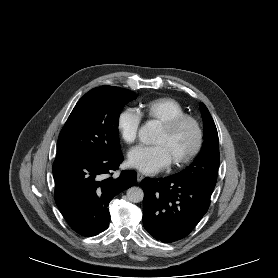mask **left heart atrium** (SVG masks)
<instances>
[{"mask_svg":"<svg viewBox=\"0 0 278 278\" xmlns=\"http://www.w3.org/2000/svg\"><path fill=\"white\" fill-rule=\"evenodd\" d=\"M128 163L146 174H156L171 164L161 145L139 146L132 149L128 154Z\"/></svg>","mask_w":278,"mask_h":278,"instance_id":"39dd6f15","label":"left heart atrium"}]
</instances>
